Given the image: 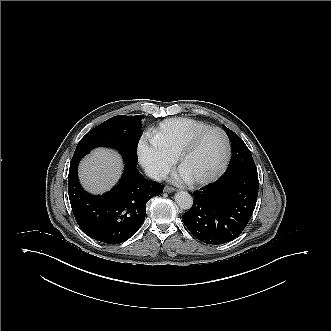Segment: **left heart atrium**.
<instances>
[{"mask_svg":"<svg viewBox=\"0 0 331 331\" xmlns=\"http://www.w3.org/2000/svg\"><path fill=\"white\" fill-rule=\"evenodd\" d=\"M175 178L178 180V181H181V182H190L191 179L189 176H187L184 172H180L179 175H176Z\"/></svg>","mask_w":331,"mask_h":331,"instance_id":"1","label":"left heart atrium"}]
</instances>
